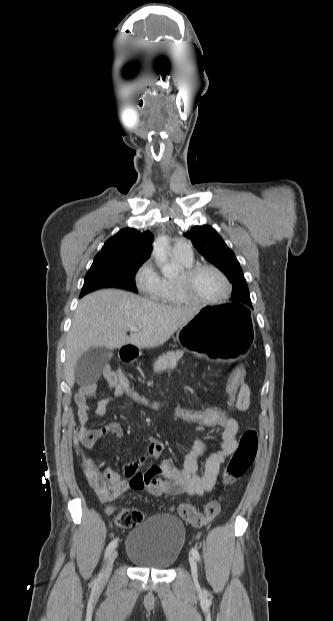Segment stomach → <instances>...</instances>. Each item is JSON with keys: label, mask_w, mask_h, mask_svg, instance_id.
Here are the masks:
<instances>
[{"label": "stomach", "mask_w": 333, "mask_h": 621, "mask_svg": "<svg viewBox=\"0 0 333 621\" xmlns=\"http://www.w3.org/2000/svg\"><path fill=\"white\" fill-rule=\"evenodd\" d=\"M251 311L230 303L207 306L177 332V340L205 361L243 366L252 349Z\"/></svg>", "instance_id": "obj_1"}]
</instances>
